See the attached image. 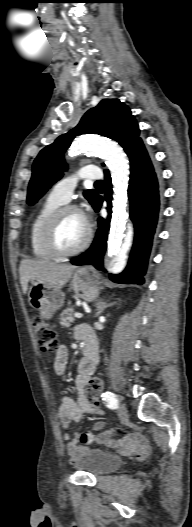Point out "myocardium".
I'll use <instances>...</instances> for the list:
<instances>
[{"label":"myocardium","instance_id":"1","mask_svg":"<svg viewBox=\"0 0 192 527\" xmlns=\"http://www.w3.org/2000/svg\"><path fill=\"white\" fill-rule=\"evenodd\" d=\"M70 212L77 213L84 218L86 222V234H85L84 239L78 246L70 250H64V249H61L56 242V233H57V228H58L60 220L65 214L70 213ZM92 236H93L92 227L89 224V222L86 220L83 212L74 205H63V206H60L58 209H56L53 212V214L50 216V218L48 219L44 227V231H43V243L47 251L54 257H59V258L71 257V256H75L81 253L82 251H84L90 244L92 240Z\"/></svg>","mask_w":192,"mask_h":527}]
</instances>
